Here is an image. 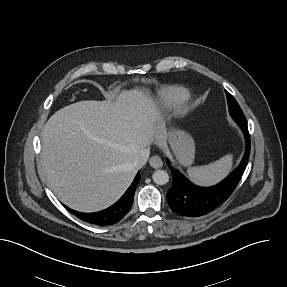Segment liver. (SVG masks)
<instances>
[{
	"mask_svg": "<svg viewBox=\"0 0 287 287\" xmlns=\"http://www.w3.org/2000/svg\"><path fill=\"white\" fill-rule=\"evenodd\" d=\"M141 90L115 102L80 101L55 112L42 131L41 163L54 194L68 207L95 212L116 202L133 181L136 156L168 133Z\"/></svg>",
	"mask_w": 287,
	"mask_h": 287,
	"instance_id": "liver-1",
	"label": "liver"
}]
</instances>
